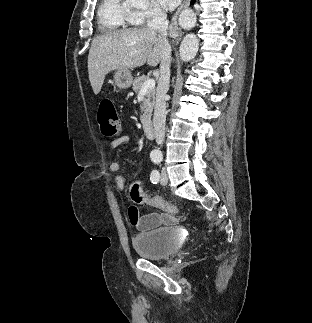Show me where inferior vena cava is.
Masks as SVG:
<instances>
[{
    "instance_id": "obj_1",
    "label": "inferior vena cava",
    "mask_w": 312,
    "mask_h": 323,
    "mask_svg": "<svg viewBox=\"0 0 312 323\" xmlns=\"http://www.w3.org/2000/svg\"><path fill=\"white\" fill-rule=\"evenodd\" d=\"M148 28L156 30L159 44L162 48V60L160 62V78L157 86L156 104L154 110L153 126L157 144H162L165 138L166 122V94L169 90L171 46L167 40L168 22L166 12L154 10L152 20H148Z\"/></svg>"
}]
</instances>
